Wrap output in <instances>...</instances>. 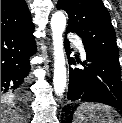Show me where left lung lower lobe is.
<instances>
[{"mask_svg": "<svg viewBox=\"0 0 122 123\" xmlns=\"http://www.w3.org/2000/svg\"><path fill=\"white\" fill-rule=\"evenodd\" d=\"M69 32V31H67ZM69 41L65 39L67 56ZM85 69L69 68L67 98L70 101L99 102L122 110V83L118 56L84 45ZM70 64L81 63L78 56L68 59Z\"/></svg>", "mask_w": 122, "mask_h": 123, "instance_id": "left-lung-lower-lobe-1", "label": "left lung lower lobe"}]
</instances>
